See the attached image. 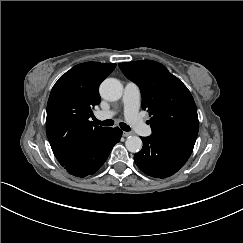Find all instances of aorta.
<instances>
[{"label":"aorta","mask_w":243,"mask_h":243,"mask_svg":"<svg viewBox=\"0 0 243 243\" xmlns=\"http://www.w3.org/2000/svg\"><path fill=\"white\" fill-rule=\"evenodd\" d=\"M100 95L108 101H117L123 95V86L119 80L108 78L100 85ZM125 146L129 152L136 153L142 148V141L138 136H129L125 142Z\"/></svg>","instance_id":"obj_1"}]
</instances>
